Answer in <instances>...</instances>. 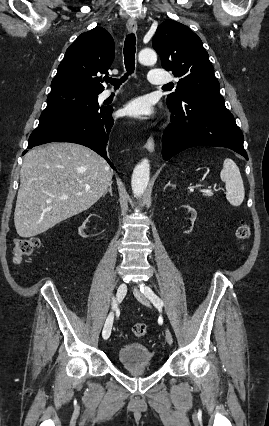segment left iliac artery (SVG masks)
Listing matches in <instances>:
<instances>
[{
    "label": "left iliac artery",
    "mask_w": 269,
    "mask_h": 426,
    "mask_svg": "<svg viewBox=\"0 0 269 426\" xmlns=\"http://www.w3.org/2000/svg\"><path fill=\"white\" fill-rule=\"evenodd\" d=\"M140 291L153 303L156 308H162V300L158 296H156L149 287L142 285L140 286Z\"/></svg>",
    "instance_id": "44dca946"
}]
</instances>
